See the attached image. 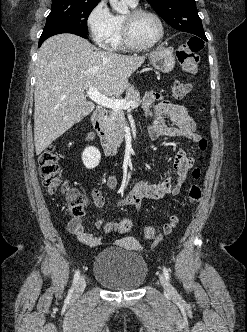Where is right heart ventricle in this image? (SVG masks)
<instances>
[{
	"instance_id": "obj_1",
	"label": "right heart ventricle",
	"mask_w": 247,
	"mask_h": 332,
	"mask_svg": "<svg viewBox=\"0 0 247 332\" xmlns=\"http://www.w3.org/2000/svg\"><path fill=\"white\" fill-rule=\"evenodd\" d=\"M129 5L133 8L136 7V5H131L130 3ZM122 19L123 17L120 15L114 16V27L108 41V46L114 50H124L128 48L123 40Z\"/></svg>"
}]
</instances>
